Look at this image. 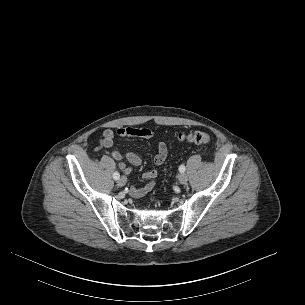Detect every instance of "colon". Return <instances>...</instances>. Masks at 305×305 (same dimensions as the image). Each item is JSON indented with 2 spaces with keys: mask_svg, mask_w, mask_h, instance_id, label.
<instances>
[{
  "mask_svg": "<svg viewBox=\"0 0 305 305\" xmlns=\"http://www.w3.org/2000/svg\"><path fill=\"white\" fill-rule=\"evenodd\" d=\"M176 138L180 142H189L196 144H208L210 142L209 135L201 131H195L187 134H179Z\"/></svg>",
  "mask_w": 305,
  "mask_h": 305,
  "instance_id": "1",
  "label": "colon"
}]
</instances>
